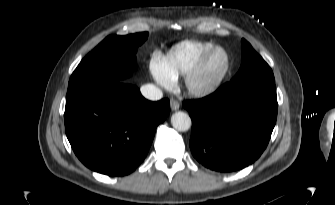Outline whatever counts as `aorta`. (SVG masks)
I'll return each mask as SVG.
<instances>
[{
	"label": "aorta",
	"mask_w": 335,
	"mask_h": 205,
	"mask_svg": "<svg viewBox=\"0 0 335 205\" xmlns=\"http://www.w3.org/2000/svg\"><path fill=\"white\" fill-rule=\"evenodd\" d=\"M191 118L187 113L175 112L171 117V124L177 131H187L191 127Z\"/></svg>",
	"instance_id": "aorta-1"
}]
</instances>
